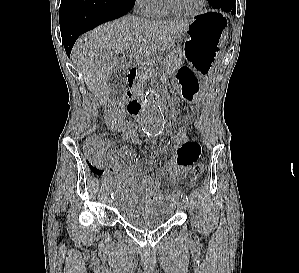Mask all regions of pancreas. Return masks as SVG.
Returning a JSON list of instances; mask_svg holds the SVG:
<instances>
[{
	"label": "pancreas",
	"instance_id": "obj_1",
	"mask_svg": "<svg viewBox=\"0 0 299 273\" xmlns=\"http://www.w3.org/2000/svg\"><path fill=\"white\" fill-rule=\"evenodd\" d=\"M183 53L180 48H177L170 52L166 59L161 63V74L167 77L173 74L183 63ZM157 72L153 67H147L144 69V76L146 78H154Z\"/></svg>",
	"mask_w": 299,
	"mask_h": 273
}]
</instances>
